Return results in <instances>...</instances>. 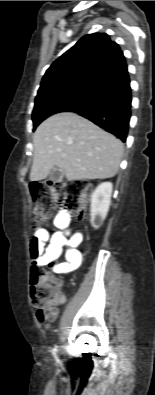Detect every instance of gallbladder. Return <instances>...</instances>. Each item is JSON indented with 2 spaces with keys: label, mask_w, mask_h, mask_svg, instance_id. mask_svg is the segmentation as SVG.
Wrapping results in <instances>:
<instances>
[{
  "label": "gallbladder",
  "mask_w": 155,
  "mask_h": 395,
  "mask_svg": "<svg viewBox=\"0 0 155 395\" xmlns=\"http://www.w3.org/2000/svg\"><path fill=\"white\" fill-rule=\"evenodd\" d=\"M48 178L50 181H52L54 183L61 182L64 178V173L60 168L54 167L50 171Z\"/></svg>",
  "instance_id": "gallbladder-1"
}]
</instances>
